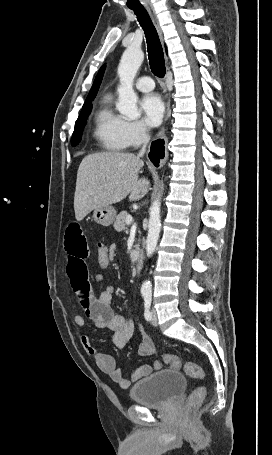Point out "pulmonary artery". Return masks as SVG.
I'll return each instance as SVG.
<instances>
[{
  "mask_svg": "<svg viewBox=\"0 0 272 455\" xmlns=\"http://www.w3.org/2000/svg\"><path fill=\"white\" fill-rule=\"evenodd\" d=\"M135 86L140 91L149 92L154 89V82L149 76H142L137 79Z\"/></svg>",
  "mask_w": 272,
  "mask_h": 455,
  "instance_id": "1",
  "label": "pulmonary artery"
}]
</instances>
